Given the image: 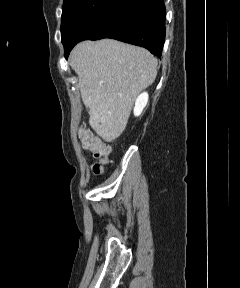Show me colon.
I'll list each match as a JSON object with an SVG mask.
<instances>
[{
  "label": "colon",
  "mask_w": 240,
  "mask_h": 288,
  "mask_svg": "<svg viewBox=\"0 0 240 288\" xmlns=\"http://www.w3.org/2000/svg\"><path fill=\"white\" fill-rule=\"evenodd\" d=\"M79 138L84 148L91 151L97 159L92 167L93 173L96 175L101 174L105 166L110 162V147L87 130H81Z\"/></svg>",
  "instance_id": "1"
}]
</instances>
